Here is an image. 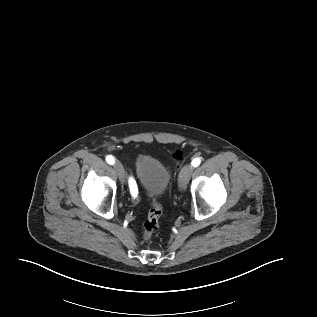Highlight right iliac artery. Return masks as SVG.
Instances as JSON below:
<instances>
[{"label": "right iliac artery", "mask_w": 317, "mask_h": 317, "mask_svg": "<svg viewBox=\"0 0 317 317\" xmlns=\"http://www.w3.org/2000/svg\"><path fill=\"white\" fill-rule=\"evenodd\" d=\"M106 161H107L108 164L112 165V164H114L115 159H114L113 156L108 155V156H106ZM129 186H130V192H131L132 196H133V197H136V196H137V189H136V187H135L134 182H133V181L130 182V183H129Z\"/></svg>", "instance_id": "1"}]
</instances>
